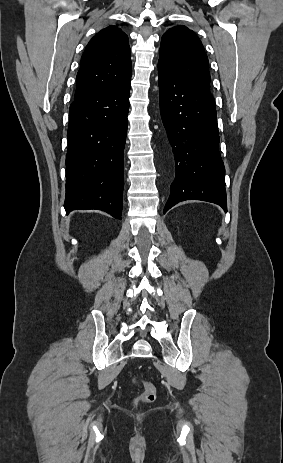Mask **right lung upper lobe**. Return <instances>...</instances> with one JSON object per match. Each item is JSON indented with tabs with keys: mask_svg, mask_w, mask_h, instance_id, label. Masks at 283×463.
<instances>
[{
	"mask_svg": "<svg viewBox=\"0 0 283 463\" xmlns=\"http://www.w3.org/2000/svg\"><path fill=\"white\" fill-rule=\"evenodd\" d=\"M130 55L128 36L118 26L102 29L91 39L81 57L74 99L130 79Z\"/></svg>",
	"mask_w": 283,
	"mask_h": 463,
	"instance_id": "cb5924a9",
	"label": "right lung upper lobe"
}]
</instances>
